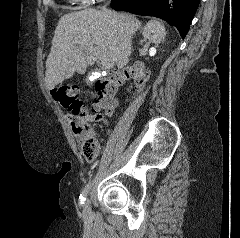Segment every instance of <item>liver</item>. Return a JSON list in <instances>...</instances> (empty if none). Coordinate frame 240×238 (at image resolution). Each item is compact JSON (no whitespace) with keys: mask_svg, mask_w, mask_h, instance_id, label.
<instances>
[{"mask_svg":"<svg viewBox=\"0 0 240 238\" xmlns=\"http://www.w3.org/2000/svg\"><path fill=\"white\" fill-rule=\"evenodd\" d=\"M140 21L128 14L110 11L104 14L85 9L63 15L54 31L46 60L44 84L50 90L74 72L84 73L93 66L99 50L118 68H123L131 55L132 35L140 29Z\"/></svg>","mask_w":240,"mask_h":238,"instance_id":"6515ba94","label":"liver"}]
</instances>
